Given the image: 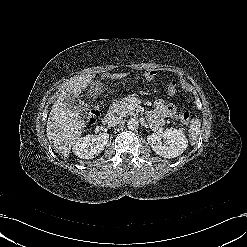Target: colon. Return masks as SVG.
<instances>
[{"instance_id":"colon-1","label":"colon","mask_w":247,"mask_h":247,"mask_svg":"<svg viewBox=\"0 0 247 247\" xmlns=\"http://www.w3.org/2000/svg\"><path fill=\"white\" fill-rule=\"evenodd\" d=\"M176 91H177V86L175 81L168 82L164 88V92L168 96L174 95ZM99 115H100L99 109L97 107H93L88 110L86 114V119L88 122H94L99 117ZM178 116L181 122L185 124L190 122L191 115L188 110L181 109Z\"/></svg>"}]
</instances>
